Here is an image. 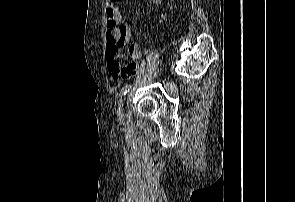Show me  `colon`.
<instances>
[{
  "label": "colon",
  "instance_id": "obj_1",
  "mask_svg": "<svg viewBox=\"0 0 295 202\" xmlns=\"http://www.w3.org/2000/svg\"><path fill=\"white\" fill-rule=\"evenodd\" d=\"M115 6H116L115 0H108L107 7H115ZM118 27H119L118 22L116 20L108 21L107 42L109 47H120L121 38H119V36L117 35L115 31V29Z\"/></svg>",
  "mask_w": 295,
  "mask_h": 202
}]
</instances>
